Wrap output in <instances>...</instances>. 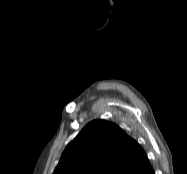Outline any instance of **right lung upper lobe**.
Returning a JSON list of instances; mask_svg holds the SVG:
<instances>
[{
	"label": "right lung upper lobe",
	"instance_id": "1",
	"mask_svg": "<svg viewBox=\"0 0 187 174\" xmlns=\"http://www.w3.org/2000/svg\"><path fill=\"white\" fill-rule=\"evenodd\" d=\"M53 174H154L140 145L112 122L87 124L68 144Z\"/></svg>",
	"mask_w": 187,
	"mask_h": 174
}]
</instances>
